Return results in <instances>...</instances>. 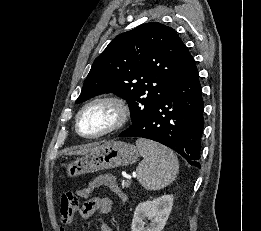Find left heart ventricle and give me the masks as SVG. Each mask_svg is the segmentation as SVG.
<instances>
[{
    "label": "left heart ventricle",
    "instance_id": "left-heart-ventricle-1",
    "mask_svg": "<svg viewBox=\"0 0 261 231\" xmlns=\"http://www.w3.org/2000/svg\"><path fill=\"white\" fill-rule=\"evenodd\" d=\"M116 120V109L110 104L99 103L84 111L79 120V129L83 134H96L111 127Z\"/></svg>",
    "mask_w": 261,
    "mask_h": 231
}]
</instances>
